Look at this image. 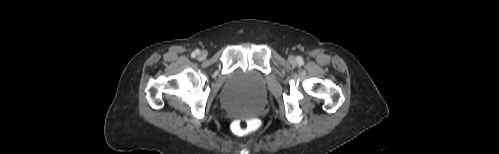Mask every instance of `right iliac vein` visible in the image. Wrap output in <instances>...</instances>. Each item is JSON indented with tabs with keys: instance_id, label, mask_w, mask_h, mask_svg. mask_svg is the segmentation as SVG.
I'll return each mask as SVG.
<instances>
[{
	"instance_id": "obj_1",
	"label": "right iliac vein",
	"mask_w": 499,
	"mask_h": 154,
	"mask_svg": "<svg viewBox=\"0 0 499 154\" xmlns=\"http://www.w3.org/2000/svg\"><path fill=\"white\" fill-rule=\"evenodd\" d=\"M199 58H200V59H205V58H206V53H205V52H201V53L199 54Z\"/></svg>"
}]
</instances>
